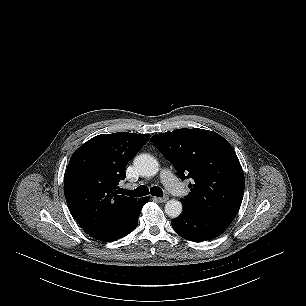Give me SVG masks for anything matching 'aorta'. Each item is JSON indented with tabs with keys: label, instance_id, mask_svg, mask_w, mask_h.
Listing matches in <instances>:
<instances>
[{
	"label": "aorta",
	"instance_id": "aorta-1",
	"mask_svg": "<svg viewBox=\"0 0 306 306\" xmlns=\"http://www.w3.org/2000/svg\"><path fill=\"white\" fill-rule=\"evenodd\" d=\"M134 166L137 172L143 177L155 176L159 171V163L157 159L149 154H140L134 159ZM183 206L178 200H169L165 204V213L176 218L182 213Z\"/></svg>",
	"mask_w": 306,
	"mask_h": 306
}]
</instances>
